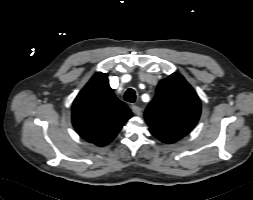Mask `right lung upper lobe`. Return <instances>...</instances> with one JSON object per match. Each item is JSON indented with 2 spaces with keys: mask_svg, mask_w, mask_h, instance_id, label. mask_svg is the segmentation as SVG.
I'll use <instances>...</instances> for the list:
<instances>
[{
  "mask_svg": "<svg viewBox=\"0 0 253 200\" xmlns=\"http://www.w3.org/2000/svg\"><path fill=\"white\" fill-rule=\"evenodd\" d=\"M132 113L114 95L107 74L96 73L73 102L72 123L90 143L105 146L118 134Z\"/></svg>",
  "mask_w": 253,
  "mask_h": 200,
  "instance_id": "right-lung-upper-lobe-1",
  "label": "right lung upper lobe"
}]
</instances>
